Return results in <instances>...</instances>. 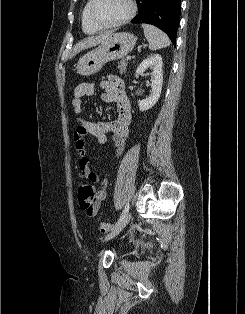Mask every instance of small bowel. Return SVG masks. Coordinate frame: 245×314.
I'll use <instances>...</instances> for the list:
<instances>
[{"label":"small bowel","instance_id":"obj_1","mask_svg":"<svg viewBox=\"0 0 245 314\" xmlns=\"http://www.w3.org/2000/svg\"><path fill=\"white\" fill-rule=\"evenodd\" d=\"M99 85L103 90L101 100L105 103H116L118 106L119 117L115 121L92 122L81 116L83 99L89 98ZM73 107L75 112L80 116L79 125L74 132L75 149L80 157L78 168L82 177L91 183L98 184L99 190L96 193L94 210L89 217H94L102 202L106 199V189L109 180L90 169V160L87 157L86 137L92 136L101 144L106 143L108 135L113 142L115 155L119 157L125 147L126 139L129 135V125L131 121V106L125 93L122 81L114 76L101 81L99 84L95 81H88L78 84L73 91Z\"/></svg>","mask_w":245,"mask_h":314}]
</instances>
